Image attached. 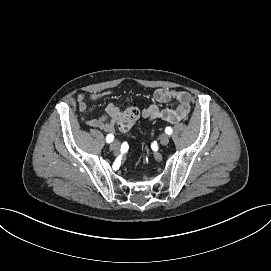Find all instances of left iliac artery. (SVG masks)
<instances>
[{"label":"left iliac artery","mask_w":271,"mask_h":271,"mask_svg":"<svg viewBox=\"0 0 271 271\" xmlns=\"http://www.w3.org/2000/svg\"><path fill=\"white\" fill-rule=\"evenodd\" d=\"M165 132H166V134L170 135L172 133V128L166 127Z\"/></svg>","instance_id":"left-iliac-artery-1"}]
</instances>
